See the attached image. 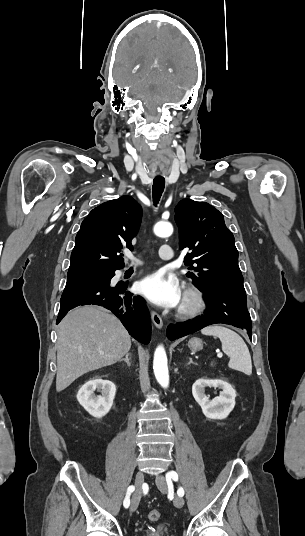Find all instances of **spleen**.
<instances>
[{"mask_svg": "<svg viewBox=\"0 0 305 536\" xmlns=\"http://www.w3.org/2000/svg\"><path fill=\"white\" fill-rule=\"evenodd\" d=\"M201 332L204 336H217V338H220L222 350L230 358L228 366L231 370H238V372L251 376L252 362L250 352L244 340L236 332L223 328L222 324L208 326V328H203Z\"/></svg>", "mask_w": 305, "mask_h": 536, "instance_id": "obj_1", "label": "spleen"}]
</instances>
